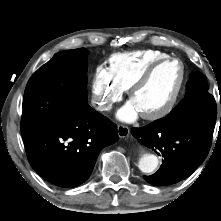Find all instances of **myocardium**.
<instances>
[{
  "label": "myocardium",
  "instance_id": "myocardium-1",
  "mask_svg": "<svg viewBox=\"0 0 221 221\" xmlns=\"http://www.w3.org/2000/svg\"><path fill=\"white\" fill-rule=\"evenodd\" d=\"M170 62H177L180 64L181 67V78L180 82L178 84V87L171 97V99L167 102L166 105H164L162 108L155 112L151 113H142L141 116L143 119L148 121H157L160 120L167 115H169L173 109L176 107L180 97L182 96V93L185 89V85L187 82V68L184 64V62L176 57H166L159 59L155 62H153L151 65H149L146 70L141 74V76L128 88V97L132 99L133 95L144 85L147 84V82L151 79L152 75L155 73V71Z\"/></svg>",
  "mask_w": 221,
  "mask_h": 221
}]
</instances>
